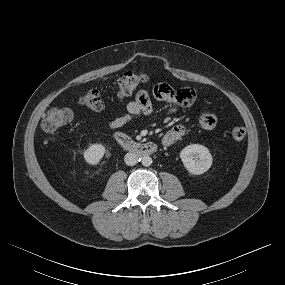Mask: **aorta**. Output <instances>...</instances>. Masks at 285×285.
<instances>
[{"label":"aorta","instance_id":"obj_1","mask_svg":"<svg viewBox=\"0 0 285 285\" xmlns=\"http://www.w3.org/2000/svg\"><path fill=\"white\" fill-rule=\"evenodd\" d=\"M141 163L143 166L148 167L152 164V158L149 155H144L141 157Z\"/></svg>","mask_w":285,"mask_h":285}]
</instances>
